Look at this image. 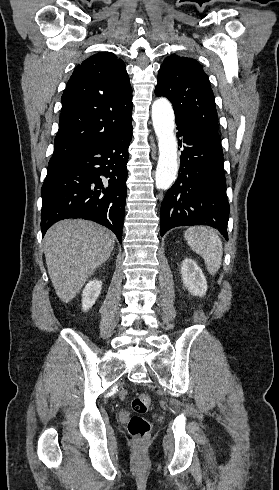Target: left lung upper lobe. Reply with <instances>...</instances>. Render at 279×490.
Returning a JSON list of instances; mask_svg holds the SVG:
<instances>
[{"label": "left lung upper lobe", "instance_id": "1", "mask_svg": "<svg viewBox=\"0 0 279 490\" xmlns=\"http://www.w3.org/2000/svg\"><path fill=\"white\" fill-rule=\"evenodd\" d=\"M157 96L167 97L174 106L176 120H185L218 132L215 98L207 74L198 61L170 55L162 64Z\"/></svg>", "mask_w": 279, "mask_h": 490}]
</instances>
